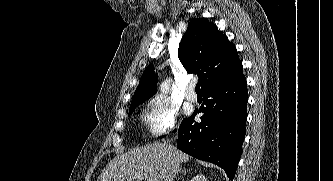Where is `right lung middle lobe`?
Returning a JSON list of instances; mask_svg holds the SVG:
<instances>
[{
    "label": "right lung middle lobe",
    "mask_w": 333,
    "mask_h": 181,
    "mask_svg": "<svg viewBox=\"0 0 333 181\" xmlns=\"http://www.w3.org/2000/svg\"><path fill=\"white\" fill-rule=\"evenodd\" d=\"M143 102H141V103H139V104H137V105H135V106H132V107H130L129 108V114L128 115H130L133 111H134V109L138 106V105H140V104H142Z\"/></svg>",
    "instance_id": "right-lung-middle-lobe-1"
}]
</instances>
